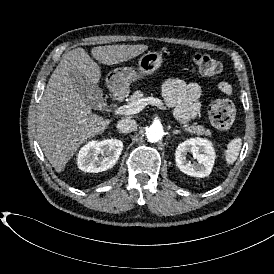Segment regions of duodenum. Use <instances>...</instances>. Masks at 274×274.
<instances>
[{
	"label": "duodenum",
	"mask_w": 274,
	"mask_h": 274,
	"mask_svg": "<svg viewBox=\"0 0 274 274\" xmlns=\"http://www.w3.org/2000/svg\"><path fill=\"white\" fill-rule=\"evenodd\" d=\"M112 98L114 101H118L121 99L119 95H113Z\"/></svg>",
	"instance_id": "duodenum-1"
}]
</instances>
